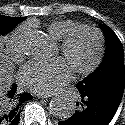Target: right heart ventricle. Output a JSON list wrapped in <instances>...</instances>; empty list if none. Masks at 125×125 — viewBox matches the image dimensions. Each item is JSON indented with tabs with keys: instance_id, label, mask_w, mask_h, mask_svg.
<instances>
[{
	"instance_id": "right-heart-ventricle-1",
	"label": "right heart ventricle",
	"mask_w": 125,
	"mask_h": 125,
	"mask_svg": "<svg viewBox=\"0 0 125 125\" xmlns=\"http://www.w3.org/2000/svg\"><path fill=\"white\" fill-rule=\"evenodd\" d=\"M76 21L61 19L50 22L47 26V32L56 41H61L71 30L79 26Z\"/></svg>"
}]
</instances>
